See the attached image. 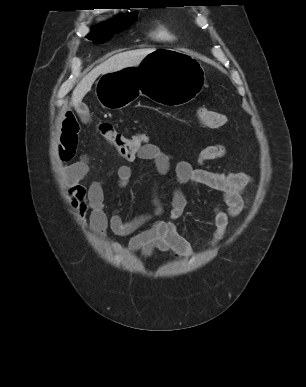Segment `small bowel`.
<instances>
[{"mask_svg":"<svg viewBox=\"0 0 306 387\" xmlns=\"http://www.w3.org/2000/svg\"><path fill=\"white\" fill-rule=\"evenodd\" d=\"M81 116L85 121L89 118L85 111L81 112ZM79 132L80 125L75 115L72 112L66 113L61 122L58 143L59 158L65 163H70L75 156L79 143ZM225 154V146L210 145L199 152L197 163L203 165L206 162L220 159ZM124 159L152 162L156 172L160 175L168 174L173 166L175 179L179 185L194 183L217 193L222 199V204L214 205L212 208L214 224L212 245L218 244L223 239L230 218L239 216L246 206L244 191L251 182V177L246 173L218 172L195 167L187 160H174L172 155L149 142L143 145L138 152ZM87 172L86 158L72 162L65 167L67 195L78 219L88 224L97 237H104L108 230L117 236L129 237L126 248L139 252L144 257L151 256L154 251L173 252L176 256H189L193 253L191 244L180 233L177 224V220L183 215L187 206V198L180 187L172 191L171 208L167 219L162 218L164 207L158 195L157 186H154L153 211L124 220L118 212L107 214L104 181L94 180L89 185L82 183ZM110 175L115 178L118 189H123L128 186L132 178V169L128 165H120ZM145 225L148 226L143 228ZM123 248L121 243L114 244L115 250Z\"/></svg>","mask_w":306,"mask_h":387,"instance_id":"c3829d8e","label":"small bowel"}]
</instances>
